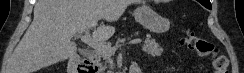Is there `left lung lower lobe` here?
I'll return each mask as SVG.
<instances>
[{
    "mask_svg": "<svg viewBox=\"0 0 244 73\" xmlns=\"http://www.w3.org/2000/svg\"><path fill=\"white\" fill-rule=\"evenodd\" d=\"M203 6H205L208 9H211V4L207 0H198Z\"/></svg>",
    "mask_w": 244,
    "mask_h": 73,
    "instance_id": "left-lung-lower-lobe-1",
    "label": "left lung lower lobe"
}]
</instances>
